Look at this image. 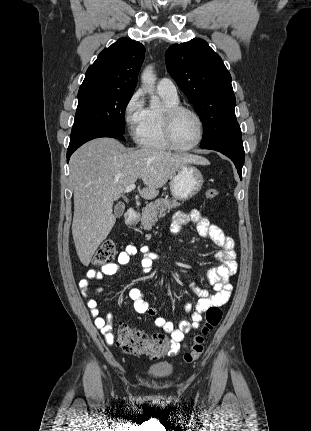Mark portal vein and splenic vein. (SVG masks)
Wrapping results in <instances>:
<instances>
[{
	"label": "portal vein and splenic vein",
	"mask_w": 311,
	"mask_h": 431,
	"mask_svg": "<svg viewBox=\"0 0 311 431\" xmlns=\"http://www.w3.org/2000/svg\"><path fill=\"white\" fill-rule=\"evenodd\" d=\"M135 188V184H130V186H127V188H125L124 192L125 194H128V192H132V190H135Z\"/></svg>",
	"instance_id": "18ae733b"
}]
</instances>
